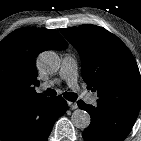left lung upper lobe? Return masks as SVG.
I'll list each match as a JSON object with an SVG mask.
<instances>
[{
    "label": "left lung upper lobe",
    "mask_w": 141,
    "mask_h": 141,
    "mask_svg": "<svg viewBox=\"0 0 141 141\" xmlns=\"http://www.w3.org/2000/svg\"><path fill=\"white\" fill-rule=\"evenodd\" d=\"M81 55L87 88L98 92L97 103L115 109L139 110L141 77L126 45L103 27L81 25L61 29Z\"/></svg>",
    "instance_id": "left-lung-upper-lobe-1"
}]
</instances>
